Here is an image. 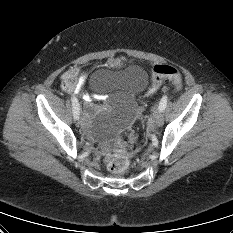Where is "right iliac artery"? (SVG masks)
Masks as SVG:
<instances>
[{
  "instance_id": "obj_1",
  "label": "right iliac artery",
  "mask_w": 233,
  "mask_h": 233,
  "mask_svg": "<svg viewBox=\"0 0 233 233\" xmlns=\"http://www.w3.org/2000/svg\"><path fill=\"white\" fill-rule=\"evenodd\" d=\"M71 101H72V106H73L74 119H77L79 118L80 106H79L77 98L74 95H72Z\"/></svg>"
}]
</instances>
